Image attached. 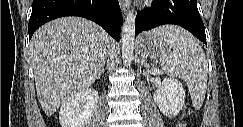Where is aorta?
<instances>
[{"label": "aorta", "mask_w": 243, "mask_h": 127, "mask_svg": "<svg viewBox=\"0 0 243 127\" xmlns=\"http://www.w3.org/2000/svg\"><path fill=\"white\" fill-rule=\"evenodd\" d=\"M136 16L133 11H129L122 27V59L126 66H130L133 60L134 40H135Z\"/></svg>", "instance_id": "aorta-1"}]
</instances>
